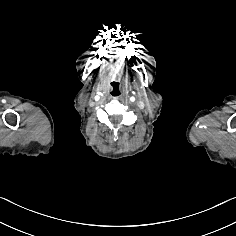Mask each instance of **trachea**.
Returning a JSON list of instances; mask_svg holds the SVG:
<instances>
[{"mask_svg": "<svg viewBox=\"0 0 236 236\" xmlns=\"http://www.w3.org/2000/svg\"><path fill=\"white\" fill-rule=\"evenodd\" d=\"M109 88H110V96L112 98H117L122 95V89L120 88V85L118 82L116 81L111 82L109 85Z\"/></svg>", "mask_w": 236, "mask_h": 236, "instance_id": "3493384b", "label": "trachea"}]
</instances>
